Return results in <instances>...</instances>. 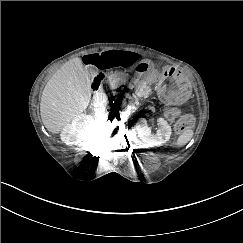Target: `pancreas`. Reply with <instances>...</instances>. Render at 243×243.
<instances>
[{"label": "pancreas", "instance_id": "pancreas-1", "mask_svg": "<svg viewBox=\"0 0 243 243\" xmlns=\"http://www.w3.org/2000/svg\"><path fill=\"white\" fill-rule=\"evenodd\" d=\"M108 82H115L117 85H121L123 77L120 74H111L108 76ZM151 91L152 89L149 85L142 82L136 83L135 93L141 99H147Z\"/></svg>", "mask_w": 243, "mask_h": 243}]
</instances>
